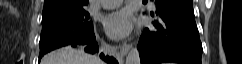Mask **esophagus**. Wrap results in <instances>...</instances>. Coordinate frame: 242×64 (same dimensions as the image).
Wrapping results in <instances>:
<instances>
[{"label": "esophagus", "instance_id": "1", "mask_svg": "<svg viewBox=\"0 0 242 64\" xmlns=\"http://www.w3.org/2000/svg\"><path fill=\"white\" fill-rule=\"evenodd\" d=\"M129 49H130V45H129V44H124V45H122V46L120 47V55H121L122 57L125 56V55L128 53Z\"/></svg>", "mask_w": 242, "mask_h": 64}]
</instances>
